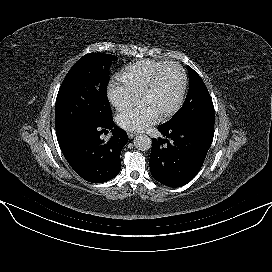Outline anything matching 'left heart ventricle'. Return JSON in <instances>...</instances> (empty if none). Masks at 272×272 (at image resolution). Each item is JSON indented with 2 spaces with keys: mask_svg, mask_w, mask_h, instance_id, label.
<instances>
[{
  "mask_svg": "<svg viewBox=\"0 0 272 272\" xmlns=\"http://www.w3.org/2000/svg\"><path fill=\"white\" fill-rule=\"evenodd\" d=\"M181 86V72L176 67H169L141 102L148 104L160 116L177 102Z\"/></svg>",
  "mask_w": 272,
  "mask_h": 272,
  "instance_id": "obj_1",
  "label": "left heart ventricle"
}]
</instances>
